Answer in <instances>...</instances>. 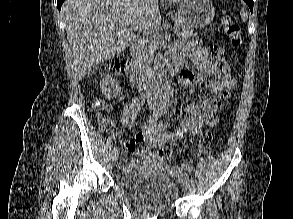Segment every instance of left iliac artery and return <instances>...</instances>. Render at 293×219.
I'll return each instance as SVG.
<instances>
[{
	"label": "left iliac artery",
	"instance_id": "left-iliac-artery-1",
	"mask_svg": "<svg viewBox=\"0 0 293 219\" xmlns=\"http://www.w3.org/2000/svg\"><path fill=\"white\" fill-rule=\"evenodd\" d=\"M168 94H169L171 97H173V96H174V91H173V89H168ZM184 167L188 170L189 175H191V174H192V169H191V167L189 166V164H188V163H185V164H184Z\"/></svg>",
	"mask_w": 293,
	"mask_h": 219
}]
</instances>
